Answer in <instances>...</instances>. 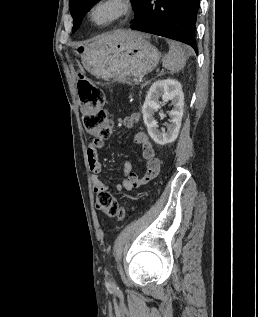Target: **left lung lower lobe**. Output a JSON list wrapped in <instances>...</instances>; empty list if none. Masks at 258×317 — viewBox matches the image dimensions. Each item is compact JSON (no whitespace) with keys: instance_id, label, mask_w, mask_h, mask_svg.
I'll return each instance as SVG.
<instances>
[{"instance_id":"obj_1","label":"left lung lower lobe","mask_w":258,"mask_h":317,"mask_svg":"<svg viewBox=\"0 0 258 317\" xmlns=\"http://www.w3.org/2000/svg\"><path fill=\"white\" fill-rule=\"evenodd\" d=\"M199 5L200 0H143L130 27L183 42L197 53L195 24Z\"/></svg>"}]
</instances>
